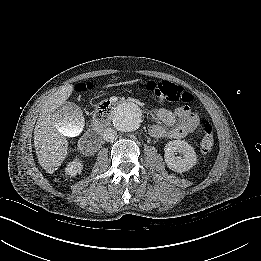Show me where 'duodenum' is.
Here are the masks:
<instances>
[{
	"label": "duodenum",
	"mask_w": 261,
	"mask_h": 261,
	"mask_svg": "<svg viewBox=\"0 0 261 261\" xmlns=\"http://www.w3.org/2000/svg\"><path fill=\"white\" fill-rule=\"evenodd\" d=\"M110 123L108 119L96 120L93 128L79 142V150L83 154H94L102 145L101 131Z\"/></svg>",
	"instance_id": "410a0bca"
}]
</instances>
